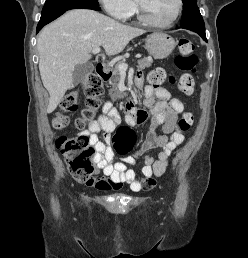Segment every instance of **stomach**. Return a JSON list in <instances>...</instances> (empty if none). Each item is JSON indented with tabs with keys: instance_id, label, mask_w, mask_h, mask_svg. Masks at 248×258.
I'll return each mask as SVG.
<instances>
[{
	"instance_id": "stomach-1",
	"label": "stomach",
	"mask_w": 248,
	"mask_h": 258,
	"mask_svg": "<svg viewBox=\"0 0 248 258\" xmlns=\"http://www.w3.org/2000/svg\"><path fill=\"white\" fill-rule=\"evenodd\" d=\"M175 46V40L165 33H153L145 40V49L156 59H164L168 57L174 50Z\"/></svg>"
}]
</instances>
